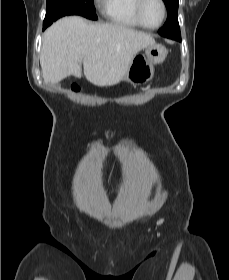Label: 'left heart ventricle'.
Masks as SVG:
<instances>
[{
	"mask_svg": "<svg viewBox=\"0 0 229 280\" xmlns=\"http://www.w3.org/2000/svg\"><path fill=\"white\" fill-rule=\"evenodd\" d=\"M162 18V9L157 0H147L143 8V19L150 25H157Z\"/></svg>",
	"mask_w": 229,
	"mask_h": 280,
	"instance_id": "left-heart-ventricle-1",
	"label": "left heart ventricle"
}]
</instances>
